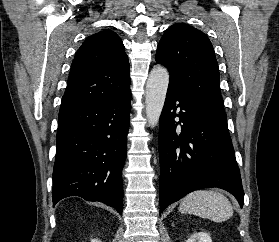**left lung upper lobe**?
Masks as SVG:
<instances>
[{"label":"left lung upper lobe","instance_id":"1","mask_svg":"<svg viewBox=\"0 0 279 242\" xmlns=\"http://www.w3.org/2000/svg\"><path fill=\"white\" fill-rule=\"evenodd\" d=\"M156 62L170 73V83L227 123L214 49L200 30L178 23L168 28L156 52Z\"/></svg>","mask_w":279,"mask_h":242}]
</instances>
